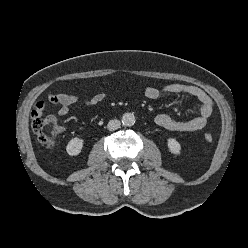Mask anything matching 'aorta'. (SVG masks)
I'll use <instances>...</instances> for the list:
<instances>
[{
	"label": "aorta",
	"instance_id": "obj_1",
	"mask_svg": "<svg viewBox=\"0 0 248 248\" xmlns=\"http://www.w3.org/2000/svg\"><path fill=\"white\" fill-rule=\"evenodd\" d=\"M122 124L124 126H133L135 124V116L133 113H125L121 118Z\"/></svg>",
	"mask_w": 248,
	"mask_h": 248
}]
</instances>
